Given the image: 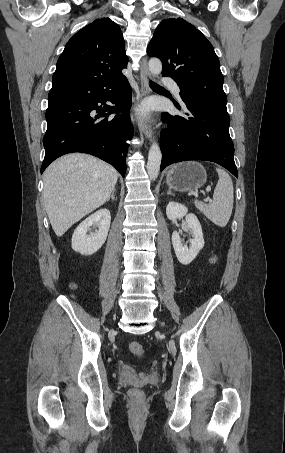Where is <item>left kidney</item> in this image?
<instances>
[{"label": "left kidney", "mask_w": 285, "mask_h": 453, "mask_svg": "<svg viewBox=\"0 0 285 453\" xmlns=\"http://www.w3.org/2000/svg\"><path fill=\"white\" fill-rule=\"evenodd\" d=\"M166 215L169 220L175 221L185 217L187 225L192 232L193 239L189 247L182 244L177 231L172 233V244L178 261L183 265L190 264L199 251L204 247V238L201 224L195 214L189 213L188 209L177 202H169L166 208Z\"/></svg>", "instance_id": "5707ae66"}]
</instances>
